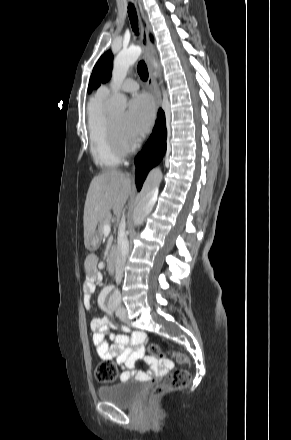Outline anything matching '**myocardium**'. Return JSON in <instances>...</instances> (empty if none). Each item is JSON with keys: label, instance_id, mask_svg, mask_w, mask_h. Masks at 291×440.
<instances>
[{"label": "myocardium", "instance_id": "f54148a6", "mask_svg": "<svg viewBox=\"0 0 291 440\" xmlns=\"http://www.w3.org/2000/svg\"><path fill=\"white\" fill-rule=\"evenodd\" d=\"M106 128H107V133H108L110 144H111L113 150L119 156H124V155L128 154L129 152H131L135 148L134 143L127 141V140H124L119 136L110 117H107Z\"/></svg>", "mask_w": 291, "mask_h": 440}]
</instances>
